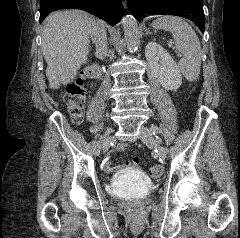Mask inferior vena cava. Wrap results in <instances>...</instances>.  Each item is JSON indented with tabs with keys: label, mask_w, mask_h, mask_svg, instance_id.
<instances>
[{
	"label": "inferior vena cava",
	"mask_w": 240,
	"mask_h": 238,
	"mask_svg": "<svg viewBox=\"0 0 240 238\" xmlns=\"http://www.w3.org/2000/svg\"><path fill=\"white\" fill-rule=\"evenodd\" d=\"M92 41L96 47V53L100 59H104L107 55V36L103 27H96L91 33Z\"/></svg>",
	"instance_id": "1"
}]
</instances>
